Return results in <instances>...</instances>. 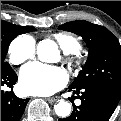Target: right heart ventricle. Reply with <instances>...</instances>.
<instances>
[{
	"label": "right heart ventricle",
	"mask_w": 121,
	"mask_h": 121,
	"mask_svg": "<svg viewBox=\"0 0 121 121\" xmlns=\"http://www.w3.org/2000/svg\"><path fill=\"white\" fill-rule=\"evenodd\" d=\"M59 44V46L66 53L76 52L79 50L80 46L76 38L68 34H56L54 36Z\"/></svg>",
	"instance_id": "1"
}]
</instances>
